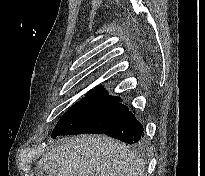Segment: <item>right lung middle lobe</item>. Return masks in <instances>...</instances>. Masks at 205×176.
I'll use <instances>...</instances> for the list:
<instances>
[{
  "label": "right lung middle lobe",
  "mask_w": 205,
  "mask_h": 176,
  "mask_svg": "<svg viewBox=\"0 0 205 176\" xmlns=\"http://www.w3.org/2000/svg\"><path fill=\"white\" fill-rule=\"evenodd\" d=\"M118 101V98L87 94L61 117L52 138L59 135L104 133L122 119L128 109Z\"/></svg>",
  "instance_id": "obj_1"
}]
</instances>
